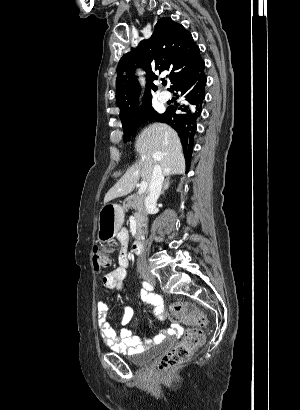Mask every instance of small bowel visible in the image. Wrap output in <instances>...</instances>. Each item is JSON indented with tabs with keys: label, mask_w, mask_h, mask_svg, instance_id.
Returning a JSON list of instances; mask_svg holds the SVG:
<instances>
[{
	"label": "small bowel",
	"mask_w": 300,
	"mask_h": 410,
	"mask_svg": "<svg viewBox=\"0 0 300 410\" xmlns=\"http://www.w3.org/2000/svg\"><path fill=\"white\" fill-rule=\"evenodd\" d=\"M121 243V248L118 254L119 266L104 275L102 278V285L110 290H121L124 287V282L127 277V267L129 264L128 259V236L127 233L121 232L118 236ZM141 299L151 309L154 316L160 321H166L168 319L162 306V298L154 293H149L145 290L140 292ZM110 308V304L99 301L96 305L97 309V322L99 326V332L103 342L111 349L119 351L125 354H134L141 352L146 347L159 342L167 334L173 333L178 329V325H173L172 329L168 331H162L152 338L142 339L136 336L133 330L128 326L134 310L130 305L124 307L123 315L120 321L121 329L117 332L110 327L107 322V312Z\"/></svg>",
	"instance_id": "1"
}]
</instances>
